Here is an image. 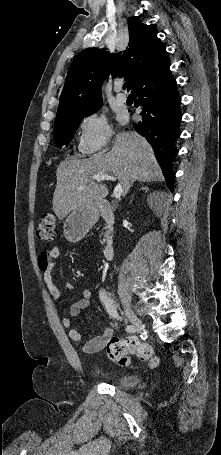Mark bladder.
I'll return each mask as SVG.
<instances>
[{"mask_svg": "<svg viewBox=\"0 0 221 455\" xmlns=\"http://www.w3.org/2000/svg\"><path fill=\"white\" fill-rule=\"evenodd\" d=\"M92 371L96 376L107 379L123 389L136 387L140 382V378L137 375L117 373L103 369L100 366H93Z\"/></svg>", "mask_w": 221, "mask_h": 455, "instance_id": "31cf9c89", "label": "bladder"}]
</instances>
